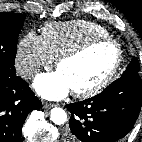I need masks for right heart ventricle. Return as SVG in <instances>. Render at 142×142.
Returning <instances> with one entry per match:
<instances>
[{
    "label": "right heart ventricle",
    "instance_id": "right-heart-ventricle-1",
    "mask_svg": "<svg viewBox=\"0 0 142 142\" xmlns=\"http://www.w3.org/2000/svg\"><path fill=\"white\" fill-rule=\"evenodd\" d=\"M109 37L101 25L88 20L50 22L42 28L41 38L51 57L61 54L94 38Z\"/></svg>",
    "mask_w": 142,
    "mask_h": 142
}]
</instances>
